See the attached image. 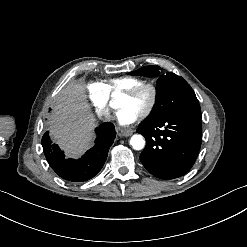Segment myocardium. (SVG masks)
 <instances>
[{"instance_id": "1", "label": "myocardium", "mask_w": 247, "mask_h": 247, "mask_svg": "<svg viewBox=\"0 0 247 247\" xmlns=\"http://www.w3.org/2000/svg\"><path fill=\"white\" fill-rule=\"evenodd\" d=\"M142 92H147L149 95V101L147 108L143 111L142 115L144 117H148L152 114L155 105L157 103L158 98V91L154 85L151 84H141L137 88L128 92V95L135 99L137 98Z\"/></svg>"}]
</instances>
